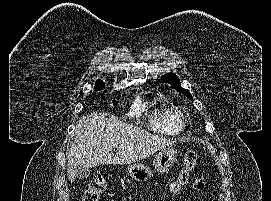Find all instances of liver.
Wrapping results in <instances>:
<instances>
[{
  "label": "liver",
  "mask_w": 271,
  "mask_h": 201,
  "mask_svg": "<svg viewBox=\"0 0 271 201\" xmlns=\"http://www.w3.org/2000/svg\"><path fill=\"white\" fill-rule=\"evenodd\" d=\"M174 143L106 113H93L76 124L67 153V176L72 183L78 166L131 164ZM115 147L116 154L112 151Z\"/></svg>",
  "instance_id": "1"
}]
</instances>
